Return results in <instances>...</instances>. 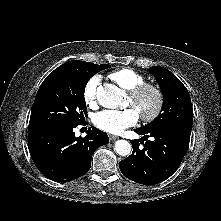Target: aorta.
I'll list each match as a JSON object with an SVG mask.
<instances>
[{
	"label": "aorta",
	"instance_id": "1",
	"mask_svg": "<svg viewBox=\"0 0 221 221\" xmlns=\"http://www.w3.org/2000/svg\"><path fill=\"white\" fill-rule=\"evenodd\" d=\"M123 97L122 90L112 84L105 85L97 92V100L105 108H118L122 104ZM114 150L120 156H128L132 151V146L126 140H117Z\"/></svg>",
	"mask_w": 221,
	"mask_h": 221
}]
</instances>
